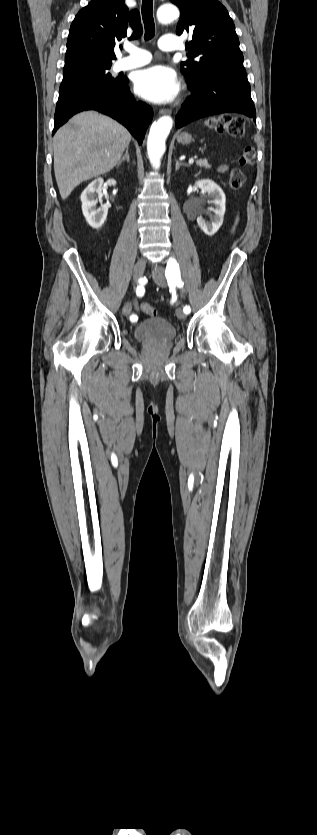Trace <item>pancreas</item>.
I'll return each mask as SVG.
<instances>
[{
    "label": "pancreas",
    "mask_w": 317,
    "mask_h": 835,
    "mask_svg": "<svg viewBox=\"0 0 317 835\" xmlns=\"http://www.w3.org/2000/svg\"><path fill=\"white\" fill-rule=\"evenodd\" d=\"M196 164H197L198 166L203 167V168H206V169H209V168H210V165L208 164V162H207V160H206V159H199V160H197V161H196Z\"/></svg>",
    "instance_id": "pancreas-1"
}]
</instances>
